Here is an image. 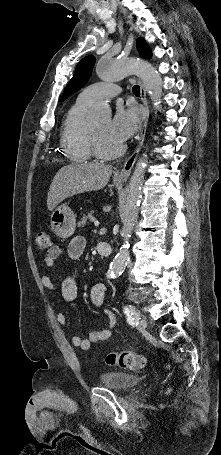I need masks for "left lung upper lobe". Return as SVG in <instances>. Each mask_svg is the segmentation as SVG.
<instances>
[{"instance_id": "obj_1", "label": "left lung upper lobe", "mask_w": 221, "mask_h": 455, "mask_svg": "<svg viewBox=\"0 0 221 455\" xmlns=\"http://www.w3.org/2000/svg\"><path fill=\"white\" fill-rule=\"evenodd\" d=\"M137 50L139 54L147 59H150L152 56L151 50L148 44L145 42L143 38H138L136 41ZM95 64V57L90 55L83 58L77 65L75 73L64 89L62 95V101H64L68 96L79 90L85 83L88 81L93 66Z\"/></svg>"}]
</instances>
